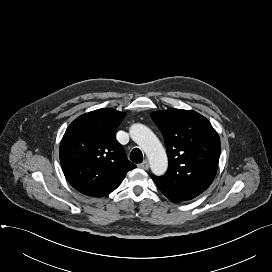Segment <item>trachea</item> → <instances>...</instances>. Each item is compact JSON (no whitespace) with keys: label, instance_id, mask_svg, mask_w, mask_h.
Wrapping results in <instances>:
<instances>
[{"label":"trachea","instance_id":"obj_1","mask_svg":"<svg viewBox=\"0 0 272 272\" xmlns=\"http://www.w3.org/2000/svg\"><path fill=\"white\" fill-rule=\"evenodd\" d=\"M130 160L134 163H141L143 160L142 151L139 148H134L130 153Z\"/></svg>","mask_w":272,"mask_h":272}]
</instances>
